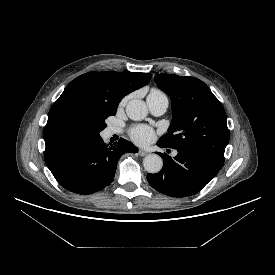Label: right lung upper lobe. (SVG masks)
<instances>
[{"label": "right lung upper lobe", "instance_id": "right-lung-upper-lobe-1", "mask_svg": "<svg viewBox=\"0 0 275 275\" xmlns=\"http://www.w3.org/2000/svg\"><path fill=\"white\" fill-rule=\"evenodd\" d=\"M151 77L150 73L129 71L89 72L78 76L66 86L50 109L43 134L45 143L67 137L60 127V119L69 107L85 101L118 105L125 95L145 86Z\"/></svg>", "mask_w": 275, "mask_h": 275}]
</instances>
